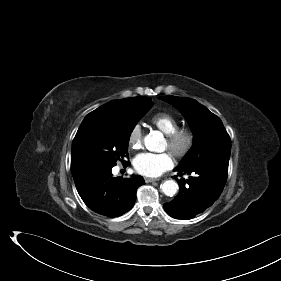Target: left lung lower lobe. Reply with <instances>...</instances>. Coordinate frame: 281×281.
Instances as JSON below:
<instances>
[{
  "label": "left lung lower lobe",
  "instance_id": "left-lung-lower-lobe-1",
  "mask_svg": "<svg viewBox=\"0 0 281 281\" xmlns=\"http://www.w3.org/2000/svg\"><path fill=\"white\" fill-rule=\"evenodd\" d=\"M178 175H192L188 180H179V194L164 204L166 212L178 219H192L204 212L220 196L227 180L228 164L203 163L190 168L177 167ZM188 185L185 186V184Z\"/></svg>",
  "mask_w": 281,
  "mask_h": 281
}]
</instances>
